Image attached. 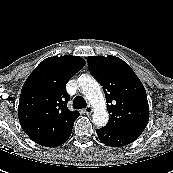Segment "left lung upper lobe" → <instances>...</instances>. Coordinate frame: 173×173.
Here are the masks:
<instances>
[{"instance_id": "left-lung-upper-lobe-1", "label": "left lung upper lobe", "mask_w": 173, "mask_h": 173, "mask_svg": "<svg viewBox=\"0 0 173 173\" xmlns=\"http://www.w3.org/2000/svg\"><path fill=\"white\" fill-rule=\"evenodd\" d=\"M89 69L103 86L109 121L105 127L138 138L149 120L145 88L132 68L115 56L87 57Z\"/></svg>"}]
</instances>
